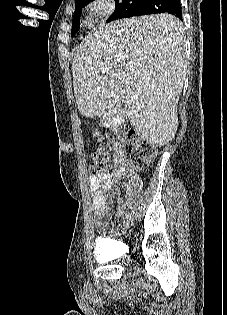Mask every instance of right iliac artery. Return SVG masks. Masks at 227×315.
I'll use <instances>...</instances> for the list:
<instances>
[{
	"label": "right iliac artery",
	"instance_id": "1",
	"mask_svg": "<svg viewBox=\"0 0 227 315\" xmlns=\"http://www.w3.org/2000/svg\"><path fill=\"white\" fill-rule=\"evenodd\" d=\"M133 213H134V211L127 213V214L124 216V219H128L129 217H131V215H132Z\"/></svg>",
	"mask_w": 227,
	"mask_h": 315
}]
</instances>
